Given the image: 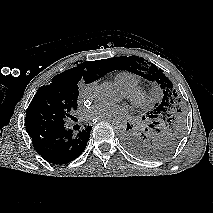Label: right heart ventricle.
Segmentation results:
<instances>
[{
	"instance_id": "obj_1",
	"label": "right heart ventricle",
	"mask_w": 213,
	"mask_h": 213,
	"mask_svg": "<svg viewBox=\"0 0 213 213\" xmlns=\"http://www.w3.org/2000/svg\"><path fill=\"white\" fill-rule=\"evenodd\" d=\"M114 81L124 90L138 86L140 78L135 73L124 70L115 74Z\"/></svg>"
}]
</instances>
